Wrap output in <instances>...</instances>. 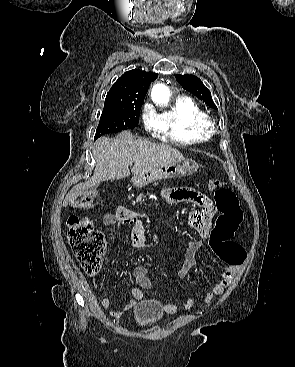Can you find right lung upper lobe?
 <instances>
[{
    "mask_svg": "<svg viewBox=\"0 0 295 367\" xmlns=\"http://www.w3.org/2000/svg\"><path fill=\"white\" fill-rule=\"evenodd\" d=\"M157 78V74L133 69L125 72L107 93V102L143 101L150 83Z\"/></svg>",
    "mask_w": 295,
    "mask_h": 367,
    "instance_id": "cb5924a9",
    "label": "right lung upper lobe"
}]
</instances>
